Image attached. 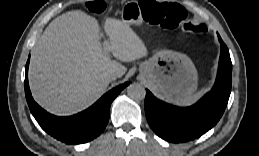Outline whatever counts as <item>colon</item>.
<instances>
[{
  "mask_svg": "<svg viewBox=\"0 0 259 156\" xmlns=\"http://www.w3.org/2000/svg\"><path fill=\"white\" fill-rule=\"evenodd\" d=\"M86 8L94 14H100L103 13L106 9V4L103 1H93L89 2L86 5ZM146 19L150 22H159V16L156 13V11H151L146 14ZM165 22V21H163ZM185 29L190 31V32H196V33H202L205 31V27L203 25H196L192 23H188L185 26Z\"/></svg>",
  "mask_w": 259,
  "mask_h": 156,
  "instance_id": "1",
  "label": "colon"
}]
</instances>
